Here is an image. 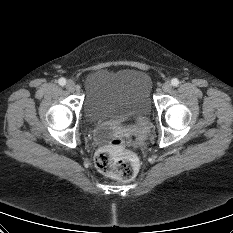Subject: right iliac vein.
<instances>
[{"instance_id": "obj_1", "label": "right iliac vein", "mask_w": 233, "mask_h": 233, "mask_svg": "<svg viewBox=\"0 0 233 233\" xmlns=\"http://www.w3.org/2000/svg\"><path fill=\"white\" fill-rule=\"evenodd\" d=\"M66 89L71 91V92H74L76 90L75 82L72 81V80H68L67 83H66Z\"/></svg>"}]
</instances>
